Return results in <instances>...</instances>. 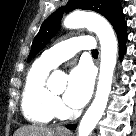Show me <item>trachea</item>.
I'll return each mask as SVG.
<instances>
[{
  "label": "trachea",
  "mask_w": 136,
  "mask_h": 136,
  "mask_svg": "<svg viewBox=\"0 0 136 136\" xmlns=\"http://www.w3.org/2000/svg\"><path fill=\"white\" fill-rule=\"evenodd\" d=\"M92 55H93V56H98V50H96V49L93 50V51H92Z\"/></svg>",
  "instance_id": "3493384b"
}]
</instances>
